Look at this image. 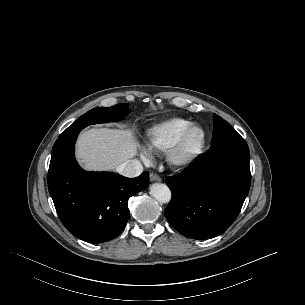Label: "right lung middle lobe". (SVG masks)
<instances>
[{
    "label": "right lung middle lobe",
    "mask_w": 305,
    "mask_h": 305,
    "mask_svg": "<svg viewBox=\"0 0 305 305\" xmlns=\"http://www.w3.org/2000/svg\"><path fill=\"white\" fill-rule=\"evenodd\" d=\"M130 112L129 104H118L112 107L95 108L70 125L60 136H68L74 132L80 131L90 124L116 122Z\"/></svg>",
    "instance_id": "obj_1"
}]
</instances>
